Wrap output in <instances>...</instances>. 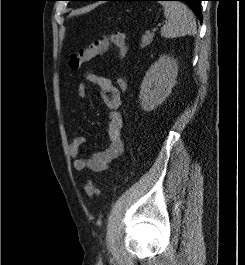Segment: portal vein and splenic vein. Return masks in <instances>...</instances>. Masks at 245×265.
<instances>
[{
    "instance_id": "obj_1",
    "label": "portal vein and splenic vein",
    "mask_w": 245,
    "mask_h": 265,
    "mask_svg": "<svg viewBox=\"0 0 245 265\" xmlns=\"http://www.w3.org/2000/svg\"><path fill=\"white\" fill-rule=\"evenodd\" d=\"M156 30H157V28H154V29L152 30V32L154 33V32H156Z\"/></svg>"
}]
</instances>
